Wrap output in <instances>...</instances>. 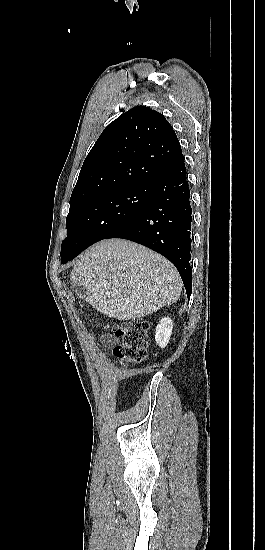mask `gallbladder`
<instances>
[{
    "label": "gallbladder",
    "instance_id": "gallbladder-1",
    "mask_svg": "<svg viewBox=\"0 0 265 550\" xmlns=\"http://www.w3.org/2000/svg\"><path fill=\"white\" fill-rule=\"evenodd\" d=\"M75 287H76L75 291L80 297H83L86 294V290L84 289V287H81V286H75Z\"/></svg>",
    "mask_w": 265,
    "mask_h": 550
}]
</instances>
